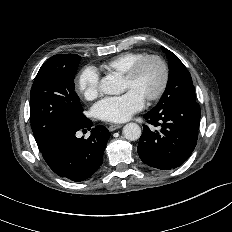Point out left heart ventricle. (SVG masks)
<instances>
[{"label": "left heart ventricle", "instance_id": "b2bd125f", "mask_svg": "<svg viewBox=\"0 0 232 232\" xmlns=\"http://www.w3.org/2000/svg\"><path fill=\"white\" fill-rule=\"evenodd\" d=\"M161 81L160 67L154 62H148L143 66L134 80H124L126 90H135L143 98L153 94Z\"/></svg>", "mask_w": 232, "mask_h": 232}]
</instances>
